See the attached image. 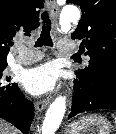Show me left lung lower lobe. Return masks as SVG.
<instances>
[{
	"label": "left lung lower lobe",
	"mask_w": 116,
	"mask_h": 134,
	"mask_svg": "<svg viewBox=\"0 0 116 134\" xmlns=\"http://www.w3.org/2000/svg\"><path fill=\"white\" fill-rule=\"evenodd\" d=\"M116 110V73H110L88 88L84 81L74 80V95L68 119L87 111Z\"/></svg>",
	"instance_id": "left-lung-lower-lobe-1"
}]
</instances>
